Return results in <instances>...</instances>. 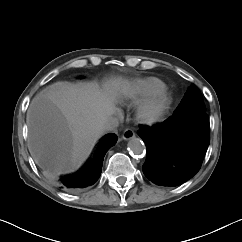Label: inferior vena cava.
<instances>
[{
	"instance_id": "602c4592",
	"label": "inferior vena cava",
	"mask_w": 242,
	"mask_h": 242,
	"mask_svg": "<svg viewBox=\"0 0 242 242\" xmlns=\"http://www.w3.org/2000/svg\"><path fill=\"white\" fill-rule=\"evenodd\" d=\"M119 125V121L116 117H108L103 123V130L112 131L116 129Z\"/></svg>"
}]
</instances>
